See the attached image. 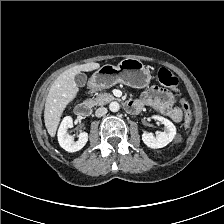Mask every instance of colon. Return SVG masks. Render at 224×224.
<instances>
[{
    "label": "colon",
    "instance_id": "1",
    "mask_svg": "<svg viewBox=\"0 0 224 224\" xmlns=\"http://www.w3.org/2000/svg\"><path fill=\"white\" fill-rule=\"evenodd\" d=\"M158 81L160 84L169 87L173 90L177 89L178 80L177 78L166 68H160L158 70ZM180 107L184 116L185 126H188L190 123V109L186 101L180 99Z\"/></svg>",
    "mask_w": 224,
    "mask_h": 224
}]
</instances>
